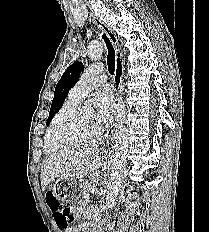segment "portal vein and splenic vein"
I'll return each instance as SVG.
<instances>
[{"label":"portal vein and splenic vein","instance_id":"18ae733b","mask_svg":"<svg viewBox=\"0 0 209 232\" xmlns=\"http://www.w3.org/2000/svg\"><path fill=\"white\" fill-rule=\"evenodd\" d=\"M83 198L85 200H88L89 199V193L88 192L83 193Z\"/></svg>","mask_w":209,"mask_h":232}]
</instances>
